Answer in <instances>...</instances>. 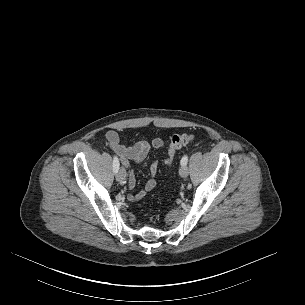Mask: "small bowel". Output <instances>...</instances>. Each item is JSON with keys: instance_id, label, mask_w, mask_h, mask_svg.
<instances>
[{"instance_id": "1", "label": "small bowel", "mask_w": 305, "mask_h": 305, "mask_svg": "<svg viewBox=\"0 0 305 305\" xmlns=\"http://www.w3.org/2000/svg\"><path fill=\"white\" fill-rule=\"evenodd\" d=\"M106 141L110 149H112L120 158L124 166H128L129 161H133L136 164H140L147 157L151 148L161 149L164 147V141L161 138H154L153 140L146 141L141 140L134 145L124 144L119 134L114 130H109L106 132ZM159 170L158 160H154L150 164V173L152 176H155ZM128 185L133 189L136 185L135 173L133 170L129 171V180ZM156 186V181L151 179L149 180L143 189L137 192L134 195H129V201H138L145 197V195L153 190Z\"/></svg>"}]
</instances>
